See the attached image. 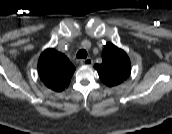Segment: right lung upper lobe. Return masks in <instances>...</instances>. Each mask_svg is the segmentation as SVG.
Masks as SVG:
<instances>
[{
  "instance_id": "cb5924a9",
  "label": "right lung upper lobe",
  "mask_w": 172,
  "mask_h": 134,
  "mask_svg": "<svg viewBox=\"0 0 172 134\" xmlns=\"http://www.w3.org/2000/svg\"><path fill=\"white\" fill-rule=\"evenodd\" d=\"M75 67L69 59L54 48L46 49L38 60V73L41 81L54 91L68 87Z\"/></svg>"
}]
</instances>
